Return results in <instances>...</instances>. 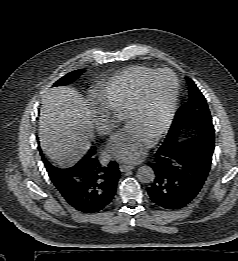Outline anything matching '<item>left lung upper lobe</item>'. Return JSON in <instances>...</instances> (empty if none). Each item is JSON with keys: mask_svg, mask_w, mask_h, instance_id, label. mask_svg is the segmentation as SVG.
I'll list each match as a JSON object with an SVG mask.
<instances>
[{"mask_svg": "<svg viewBox=\"0 0 238 261\" xmlns=\"http://www.w3.org/2000/svg\"><path fill=\"white\" fill-rule=\"evenodd\" d=\"M190 97L187 103L177 111L163 146L177 143L180 130L185 127L195 126L197 130L203 127L212 128V118L207 102L192 80L188 81Z\"/></svg>", "mask_w": 238, "mask_h": 261, "instance_id": "1", "label": "left lung upper lobe"}]
</instances>
